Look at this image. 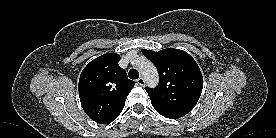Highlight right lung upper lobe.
<instances>
[{"label":"right lung upper lobe","mask_w":276,"mask_h":138,"mask_svg":"<svg viewBox=\"0 0 276 138\" xmlns=\"http://www.w3.org/2000/svg\"><path fill=\"white\" fill-rule=\"evenodd\" d=\"M119 60L118 54H103L92 60L79 78L81 105L87 115L100 124H109L119 116L135 84L118 65Z\"/></svg>","instance_id":"cb5924a9"}]
</instances>
